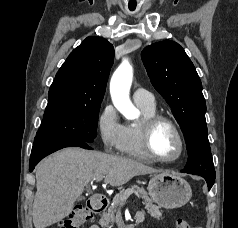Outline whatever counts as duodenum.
<instances>
[{"label": "duodenum", "instance_id": "1", "mask_svg": "<svg viewBox=\"0 0 238 228\" xmlns=\"http://www.w3.org/2000/svg\"><path fill=\"white\" fill-rule=\"evenodd\" d=\"M108 205V199L104 196H95L87 202L88 209L94 213L103 211ZM144 215L141 211L136 212V219L142 220Z\"/></svg>", "mask_w": 238, "mask_h": 228}]
</instances>
